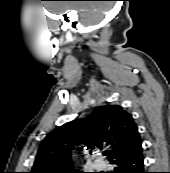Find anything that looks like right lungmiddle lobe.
<instances>
[{"label":"right lung middle lobe","mask_w":170,"mask_h":173,"mask_svg":"<svg viewBox=\"0 0 170 173\" xmlns=\"http://www.w3.org/2000/svg\"><path fill=\"white\" fill-rule=\"evenodd\" d=\"M72 173H82V172H75V171H74V172H72Z\"/></svg>","instance_id":"1"}]
</instances>
